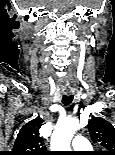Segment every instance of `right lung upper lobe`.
I'll return each instance as SVG.
<instances>
[{"label":"right lung upper lobe","mask_w":115,"mask_h":155,"mask_svg":"<svg viewBox=\"0 0 115 155\" xmlns=\"http://www.w3.org/2000/svg\"><path fill=\"white\" fill-rule=\"evenodd\" d=\"M43 120L37 117L25 124L17 135L16 142L10 155H48L39 129Z\"/></svg>","instance_id":"obj_1"}]
</instances>
